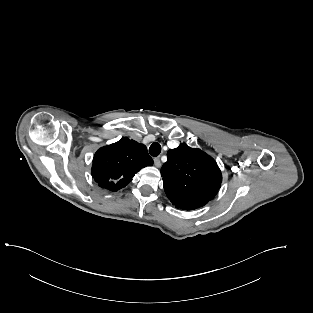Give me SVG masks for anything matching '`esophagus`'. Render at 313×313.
Returning <instances> with one entry per match:
<instances>
[{
  "mask_svg": "<svg viewBox=\"0 0 313 313\" xmlns=\"http://www.w3.org/2000/svg\"><path fill=\"white\" fill-rule=\"evenodd\" d=\"M154 164L158 168L161 166V161L159 157L154 158Z\"/></svg>",
  "mask_w": 313,
  "mask_h": 313,
  "instance_id": "1",
  "label": "esophagus"
}]
</instances>
